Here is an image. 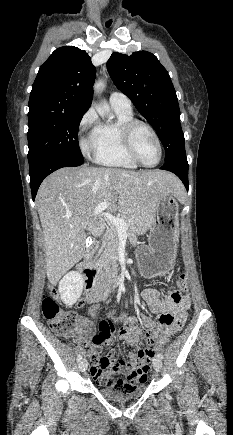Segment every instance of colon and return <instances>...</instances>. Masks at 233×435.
<instances>
[{
	"mask_svg": "<svg viewBox=\"0 0 233 435\" xmlns=\"http://www.w3.org/2000/svg\"><path fill=\"white\" fill-rule=\"evenodd\" d=\"M182 288H186L188 286L187 277L185 274H181L178 277L177 281ZM59 296L60 290L57 284H54L50 289V293L45 295L42 299V314L43 317L49 324L50 329L54 334L59 337L66 338L71 333L74 322L76 320V314L71 310L61 309L59 307ZM81 306H83V302H81ZM147 338L150 339V334L147 333ZM101 338L99 336H95L93 338V342H100ZM81 352L85 355L88 354V347L84 346L81 349ZM153 352L149 349H145L141 352V360L146 361L147 364L152 360ZM96 362L108 364V360L106 358H100L96 355L92 357ZM149 367V366H148ZM131 380H120L118 381L117 387L122 392H131L134 390L139 382L136 377L138 375V369H131Z\"/></svg>",
	"mask_w": 233,
	"mask_h": 435,
	"instance_id": "1",
	"label": "colon"
}]
</instances>
